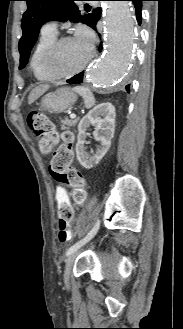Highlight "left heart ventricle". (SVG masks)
<instances>
[{"instance_id":"obj_1","label":"left heart ventricle","mask_w":183,"mask_h":329,"mask_svg":"<svg viewBox=\"0 0 183 329\" xmlns=\"http://www.w3.org/2000/svg\"><path fill=\"white\" fill-rule=\"evenodd\" d=\"M90 49L85 48L74 38L62 44L55 62L58 72H69L80 67L88 58Z\"/></svg>"}]
</instances>
